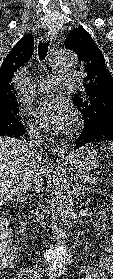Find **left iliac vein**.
Segmentation results:
<instances>
[{
	"mask_svg": "<svg viewBox=\"0 0 113 279\" xmlns=\"http://www.w3.org/2000/svg\"><path fill=\"white\" fill-rule=\"evenodd\" d=\"M50 279H55V278H53V277H50Z\"/></svg>",
	"mask_w": 113,
	"mask_h": 279,
	"instance_id": "obj_1",
	"label": "left iliac vein"
}]
</instances>
